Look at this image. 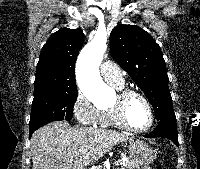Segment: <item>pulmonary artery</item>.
<instances>
[{
	"label": "pulmonary artery",
	"mask_w": 200,
	"mask_h": 169,
	"mask_svg": "<svg viewBox=\"0 0 200 169\" xmlns=\"http://www.w3.org/2000/svg\"><path fill=\"white\" fill-rule=\"evenodd\" d=\"M100 72L102 77L111 84H121L124 81L120 67L112 61L103 62Z\"/></svg>",
	"instance_id": "obj_1"
}]
</instances>
